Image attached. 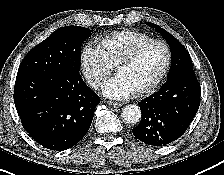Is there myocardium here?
Masks as SVG:
<instances>
[{
  "mask_svg": "<svg viewBox=\"0 0 224 175\" xmlns=\"http://www.w3.org/2000/svg\"><path fill=\"white\" fill-rule=\"evenodd\" d=\"M153 44H159L164 48L165 54H166L165 62H164V65H163L161 71L157 75V77L147 86L137 90L134 93L136 96H142V95L152 92L155 88H157V86L161 83V81L166 76V74L170 68V64H171V60H172V54H171V49H170L169 45L163 40L150 39L146 42L141 43L137 47H135L131 52H129L122 59H120L118 61V63L115 65V71L117 72L121 67L133 63L147 47H149L150 45H153Z\"/></svg>",
  "mask_w": 224,
  "mask_h": 175,
  "instance_id": "1",
  "label": "myocardium"
}]
</instances>
